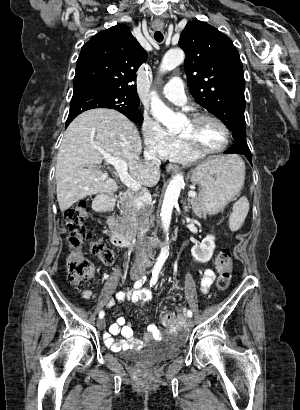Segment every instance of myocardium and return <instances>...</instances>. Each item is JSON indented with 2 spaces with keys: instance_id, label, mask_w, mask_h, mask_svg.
Instances as JSON below:
<instances>
[{
  "instance_id": "obj_1",
  "label": "myocardium",
  "mask_w": 300,
  "mask_h": 410,
  "mask_svg": "<svg viewBox=\"0 0 300 410\" xmlns=\"http://www.w3.org/2000/svg\"><path fill=\"white\" fill-rule=\"evenodd\" d=\"M203 120H211L216 122L224 131L225 134V141L223 145L217 149L213 150H202L198 147V145L195 143L194 139L192 136H180L182 142L186 146V148L195 156L201 158V157H206L214 154H218L220 152H223L229 145L230 140H231V132L227 124L220 119L219 117L209 114V113H197L191 116L190 122L192 124H197L200 121Z\"/></svg>"
}]
</instances>
